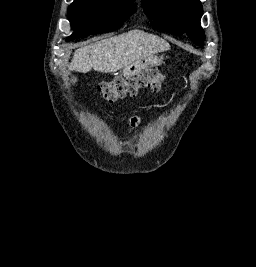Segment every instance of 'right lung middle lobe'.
Masks as SVG:
<instances>
[{"label": "right lung middle lobe", "mask_w": 256, "mask_h": 267, "mask_svg": "<svg viewBox=\"0 0 256 267\" xmlns=\"http://www.w3.org/2000/svg\"><path fill=\"white\" fill-rule=\"evenodd\" d=\"M136 8L132 1L75 0L68 8L73 30L70 37H86L119 29Z\"/></svg>", "instance_id": "obj_1"}]
</instances>
